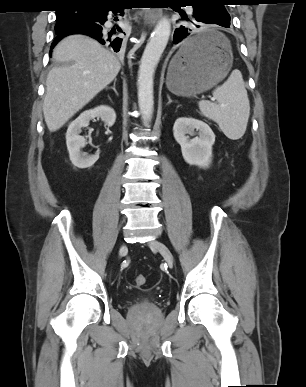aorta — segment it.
<instances>
[{
    "label": "aorta",
    "instance_id": "1",
    "mask_svg": "<svg viewBox=\"0 0 306 387\" xmlns=\"http://www.w3.org/2000/svg\"><path fill=\"white\" fill-rule=\"evenodd\" d=\"M171 23L163 17L154 28L144 49L138 71V105L144 124L151 121L154 110L153 78L155 69L167 46Z\"/></svg>",
    "mask_w": 306,
    "mask_h": 387
}]
</instances>
